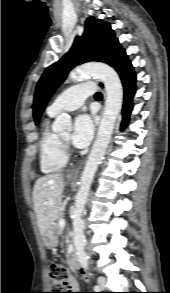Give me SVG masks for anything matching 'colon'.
<instances>
[{
	"label": "colon",
	"mask_w": 170,
	"mask_h": 293,
	"mask_svg": "<svg viewBox=\"0 0 170 293\" xmlns=\"http://www.w3.org/2000/svg\"><path fill=\"white\" fill-rule=\"evenodd\" d=\"M48 273L53 291H55L52 293H62L59 291H62L70 285L68 271L61 263L56 261L50 262Z\"/></svg>",
	"instance_id": "colon-1"
}]
</instances>
